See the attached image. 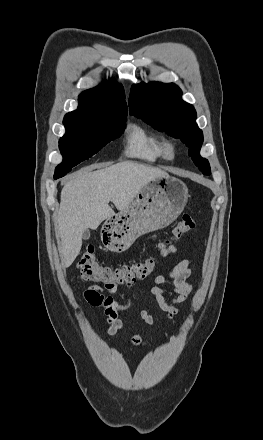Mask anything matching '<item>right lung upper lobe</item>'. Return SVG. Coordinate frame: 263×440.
Returning <instances> with one entry per match:
<instances>
[{"mask_svg": "<svg viewBox=\"0 0 263 440\" xmlns=\"http://www.w3.org/2000/svg\"><path fill=\"white\" fill-rule=\"evenodd\" d=\"M78 109L65 115L63 124L79 125L93 117L128 114L125 92L115 81L84 91Z\"/></svg>", "mask_w": 263, "mask_h": 440, "instance_id": "obj_1", "label": "right lung upper lobe"}]
</instances>
